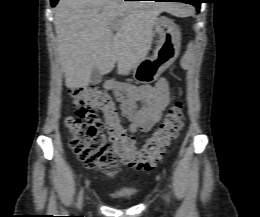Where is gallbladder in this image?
<instances>
[{
  "label": "gallbladder",
  "instance_id": "1",
  "mask_svg": "<svg viewBox=\"0 0 260 217\" xmlns=\"http://www.w3.org/2000/svg\"><path fill=\"white\" fill-rule=\"evenodd\" d=\"M102 80V74L97 68H93L90 76V83L92 85L99 84Z\"/></svg>",
  "mask_w": 260,
  "mask_h": 217
}]
</instances>
